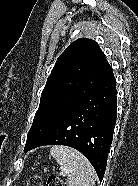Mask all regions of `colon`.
Instances as JSON below:
<instances>
[{
	"mask_svg": "<svg viewBox=\"0 0 138 186\" xmlns=\"http://www.w3.org/2000/svg\"><path fill=\"white\" fill-rule=\"evenodd\" d=\"M27 186H43L42 178L40 176H34L29 179ZM46 186H66L63 180L55 175H50L47 178Z\"/></svg>",
	"mask_w": 138,
	"mask_h": 186,
	"instance_id": "1",
	"label": "colon"
}]
</instances>
